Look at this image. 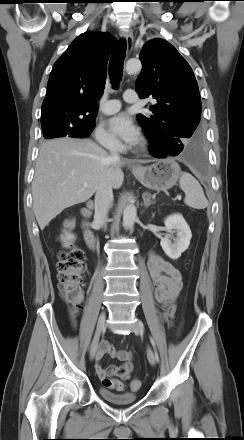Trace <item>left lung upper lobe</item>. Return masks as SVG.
Wrapping results in <instances>:
<instances>
[{"label": "left lung upper lobe", "instance_id": "5c2ea615", "mask_svg": "<svg viewBox=\"0 0 244 440\" xmlns=\"http://www.w3.org/2000/svg\"><path fill=\"white\" fill-rule=\"evenodd\" d=\"M142 71L136 80L141 98L152 96V115L138 114L146 135L165 147H181L184 138L198 137L201 98L190 65L163 39L148 41L140 52Z\"/></svg>", "mask_w": 244, "mask_h": 440}]
</instances>
